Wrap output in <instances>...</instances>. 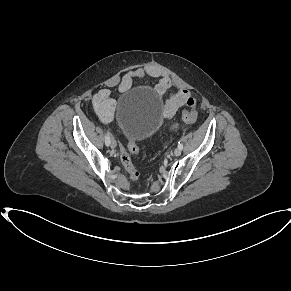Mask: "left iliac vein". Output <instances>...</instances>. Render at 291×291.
Returning a JSON list of instances; mask_svg holds the SVG:
<instances>
[{"label":"left iliac vein","mask_w":291,"mask_h":291,"mask_svg":"<svg viewBox=\"0 0 291 291\" xmlns=\"http://www.w3.org/2000/svg\"><path fill=\"white\" fill-rule=\"evenodd\" d=\"M182 149L179 147L174 150V156H179L181 154Z\"/></svg>","instance_id":"left-iliac-vein-1"}]
</instances>
